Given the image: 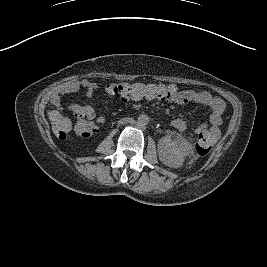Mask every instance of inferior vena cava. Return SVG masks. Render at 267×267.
<instances>
[{"instance_id": "1", "label": "inferior vena cava", "mask_w": 267, "mask_h": 267, "mask_svg": "<svg viewBox=\"0 0 267 267\" xmlns=\"http://www.w3.org/2000/svg\"><path fill=\"white\" fill-rule=\"evenodd\" d=\"M133 119L132 118H122L121 120L118 121V124H126V123H132Z\"/></svg>"}]
</instances>
